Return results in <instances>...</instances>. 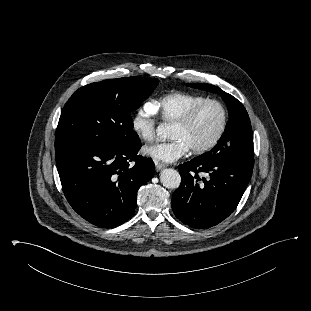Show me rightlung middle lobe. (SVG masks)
Returning a JSON list of instances; mask_svg holds the SVG:
<instances>
[{"instance_id":"dd1d6c3e","label":"right lung middle lobe","mask_w":311,"mask_h":311,"mask_svg":"<svg viewBox=\"0 0 311 311\" xmlns=\"http://www.w3.org/2000/svg\"><path fill=\"white\" fill-rule=\"evenodd\" d=\"M157 85V79L133 76L79 88L63 108L56 129L55 149L89 146L120 150L139 144L131 112L139 108Z\"/></svg>"}]
</instances>
